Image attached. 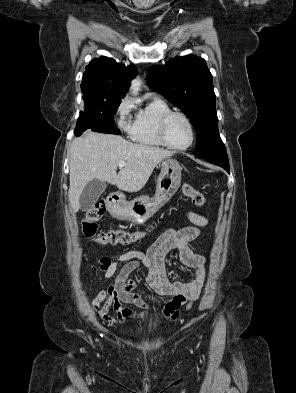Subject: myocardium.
Here are the masks:
<instances>
[{
    "instance_id": "obj_1",
    "label": "myocardium",
    "mask_w": 296,
    "mask_h": 393,
    "mask_svg": "<svg viewBox=\"0 0 296 393\" xmlns=\"http://www.w3.org/2000/svg\"><path fill=\"white\" fill-rule=\"evenodd\" d=\"M175 116H179V117L183 118L186 121V123L188 124L189 129H190V134H191L190 141L187 145L182 146V147L172 145L168 141V138H167L168 123ZM158 134H159V138L164 146L168 147L169 149L176 150V151H184V150L189 149L194 144L195 138H196L195 128H194V125H193L191 119L189 118L188 115H186L185 113H183L181 111H170V112L166 113L160 120L159 127H158Z\"/></svg>"
}]
</instances>
